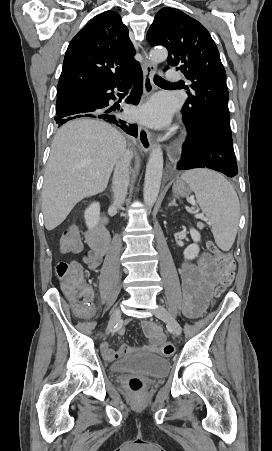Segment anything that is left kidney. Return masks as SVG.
<instances>
[{
	"label": "left kidney",
	"instance_id": "1",
	"mask_svg": "<svg viewBox=\"0 0 272 451\" xmlns=\"http://www.w3.org/2000/svg\"><path fill=\"white\" fill-rule=\"evenodd\" d=\"M190 233L194 243H190V245H187L186 249H184L183 253L186 259H194V257H197L200 249L197 243V241H200L201 239L199 231H197V229H194V227H191Z\"/></svg>",
	"mask_w": 272,
	"mask_h": 451
}]
</instances>
